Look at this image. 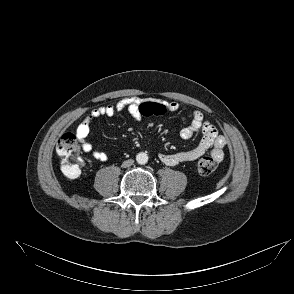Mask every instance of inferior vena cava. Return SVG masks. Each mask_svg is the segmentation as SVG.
<instances>
[{"label":"inferior vena cava","mask_w":294,"mask_h":294,"mask_svg":"<svg viewBox=\"0 0 294 294\" xmlns=\"http://www.w3.org/2000/svg\"><path fill=\"white\" fill-rule=\"evenodd\" d=\"M134 163V160L128 159L122 163V167L127 168L130 167Z\"/></svg>","instance_id":"602c4592"}]
</instances>
